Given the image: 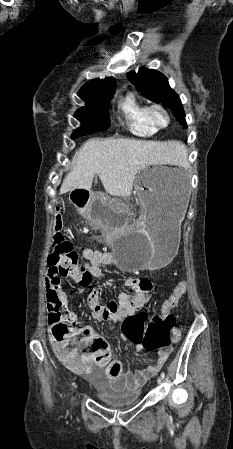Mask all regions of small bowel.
Segmentation results:
<instances>
[{
  "label": "small bowel",
  "mask_w": 233,
  "mask_h": 449,
  "mask_svg": "<svg viewBox=\"0 0 233 449\" xmlns=\"http://www.w3.org/2000/svg\"><path fill=\"white\" fill-rule=\"evenodd\" d=\"M84 264L76 268H67L61 272L58 265L49 266L45 277L46 299L48 308L53 311L55 308L63 307L67 304L68 294L62 289L61 282L65 276L72 278L80 283H88L92 279H103L105 273L102 269L103 265L113 262V256L109 252L98 251L92 248H84L82 250ZM126 288L132 292L123 291L118 295L116 301H100L98 304H90L88 307L92 309V316L97 321L107 320L109 322L123 323L126 319H133L137 311L146 304L150 298L155 285L152 278H148L147 274H134L133 278H127L124 281ZM187 287V286H186ZM187 290V288H186ZM97 288L92 296L98 298L100 296ZM94 300V299H93ZM107 314V315H105ZM143 325V323H141ZM128 341L127 338H121ZM51 341L56 351L58 343ZM75 337H71V342H75ZM138 350H142L140 343H134ZM74 345V344H73ZM76 354L84 361L83 368L79 369L86 373H98L106 368L107 378L116 387H138L144 385L151 377L156 375L162 368L168 358V351L160 350L155 363L137 369L135 372L122 374L121 364L118 361H111L110 354L104 361H97L96 356L92 353H83L82 348L75 346Z\"/></svg>",
  "instance_id": "1"
}]
</instances>
